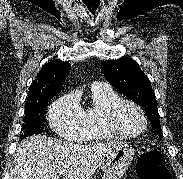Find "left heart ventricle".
<instances>
[{"label":"left heart ventricle","instance_id":"b2bd125f","mask_svg":"<svg viewBox=\"0 0 183 179\" xmlns=\"http://www.w3.org/2000/svg\"><path fill=\"white\" fill-rule=\"evenodd\" d=\"M116 124L121 132L133 134L142 128L143 120L135 108L124 106L117 116Z\"/></svg>","mask_w":183,"mask_h":179}]
</instances>
